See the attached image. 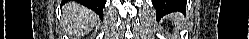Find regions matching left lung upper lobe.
I'll return each instance as SVG.
<instances>
[{"label": "left lung upper lobe", "mask_w": 249, "mask_h": 39, "mask_svg": "<svg viewBox=\"0 0 249 39\" xmlns=\"http://www.w3.org/2000/svg\"><path fill=\"white\" fill-rule=\"evenodd\" d=\"M182 4H184V2H183ZM178 5H179V2H175V3L173 4V6H171V7H176V6H178Z\"/></svg>", "instance_id": "5c2ea615"}]
</instances>
